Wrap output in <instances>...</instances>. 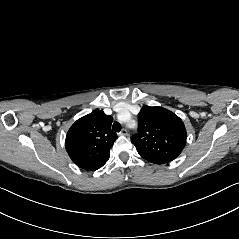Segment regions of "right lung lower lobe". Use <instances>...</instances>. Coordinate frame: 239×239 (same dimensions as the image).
<instances>
[{
    "instance_id": "98d812e1",
    "label": "right lung lower lobe",
    "mask_w": 239,
    "mask_h": 239,
    "mask_svg": "<svg viewBox=\"0 0 239 239\" xmlns=\"http://www.w3.org/2000/svg\"><path fill=\"white\" fill-rule=\"evenodd\" d=\"M102 166H103V165H102ZM102 166H100V167H102ZM100 167H98V168H100ZM98 168H96V169H98ZM96 169H95V170H96ZM92 171H93V170H92Z\"/></svg>"
}]
</instances>
